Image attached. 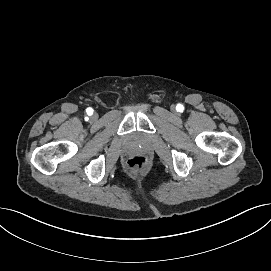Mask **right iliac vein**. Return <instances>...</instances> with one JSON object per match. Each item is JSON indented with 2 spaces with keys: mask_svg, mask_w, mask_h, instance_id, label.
I'll list each match as a JSON object with an SVG mask.
<instances>
[{
  "mask_svg": "<svg viewBox=\"0 0 271 271\" xmlns=\"http://www.w3.org/2000/svg\"><path fill=\"white\" fill-rule=\"evenodd\" d=\"M91 118L95 120L96 119V114H94Z\"/></svg>",
  "mask_w": 271,
  "mask_h": 271,
  "instance_id": "1",
  "label": "right iliac vein"
}]
</instances>
